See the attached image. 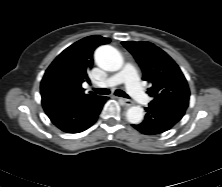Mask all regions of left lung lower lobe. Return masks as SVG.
<instances>
[{
	"mask_svg": "<svg viewBox=\"0 0 222 187\" xmlns=\"http://www.w3.org/2000/svg\"><path fill=\"white\" fill-rule=\"evenodd\" d=\"M189 101L168 99L150 102L146 108L145 119L142 123L132 125L146 135H156L171 129L185 114Z\"/></svg>",
	"mask_w": 222,
	"mask_h": 187,
	"instance_id": "1",
	"label": "left lung lower lobe"
}]
</instances>
